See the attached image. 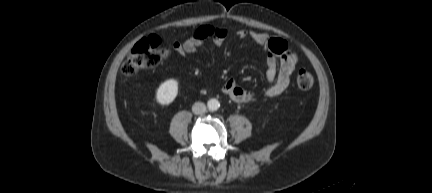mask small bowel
Here are the masks:
<instances>
[{
    "mask_svg": "<svg viewBox=\"0 0 432 193\" xmlns=\"http://www.w3.org/2000/svg\"><path fill=\"white\" fill-rule=\"evenodd\" d=\"M241 40L252 39L267 52L266 79L270 83L264 94L275 97L282 94L290 84V76L298 62L297 53L288 47L285 40L272 37L267 33L249 31L238 28L235 31ZM226 36L224 29L211 26H201L194 35L184 42H174L172 47L180 55L192 54L207 40L220 45ZM223 93L235 102L245 103L254 98V94L240 87L233 79H229L223 86Z\"/></svg>",
    "mask_w": 432,
    "mask_h": 193,
    "instance_id": "small-bowel-1",
    "label": "small bowel"
}]
</instances>
